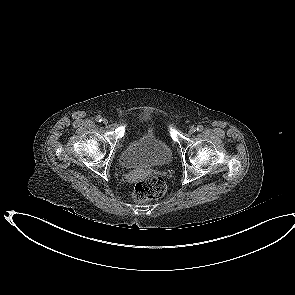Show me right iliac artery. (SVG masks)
<instances>
[{
  "label": "right iliac artery",
  "instance_id": "82829eb1",
  "mask_svg": "<svg viewBox=\"0 0 295 295\" xmlns=\"http://www.w3.org/2000/svg\"><path fill=\"white\" fill-rule=\"evenodd\" d=\"M96 121H97V122H101V121H102V117H101L100 115H98V116L96 117Z\"/></svg>",
  "mask_w": 295,
  "mask_h": 295
}]
</instances>
